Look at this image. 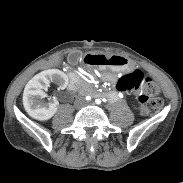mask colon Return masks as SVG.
<instances>
[{"instance_id":"colon-1","label":"colon","mask_w":183,"mask_h":183,"mask_svg":"<svg viewBox=\"0 0 183 183\" xmlns=\"http://www.w3.org/2000/svg\"><path fill=\"white\" fill-rule=\"evenodd\" d=\"M90 64L95 65H123V58H107L105 56H92ZM118 90L122 92L137 90L141 110L146 115H155L163 105L161 89L150 77L144 76L140 71H133L122 75L117 83Z\"/></svg>"}]
</instances>
